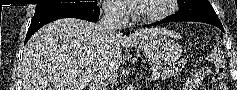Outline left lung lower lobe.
<instances>
[{
  "instance_id": "1",
  "label": "left lung lower lobe",
  "mask_w": 237,
  "mask_h": 90,
  "mask_svg": "<svg viewBox=\"0 0 237 90\" xmlns=\"http://www.w3.org/2000/svg\"><path fill=\"white\" fill-rule=\"evenodd\" d=\"M172 21H195V22L209 23V24H213V25L219 27L224 32L221 22L202 20V19H197V18H193V17H189V16H182V15H178V14L169 16L168 18H166L165 20H163L161 22L151 24V25H145V26H152V25H157V24H162V23H167V22H172Z\"/></svg>"
}]
</instances>
